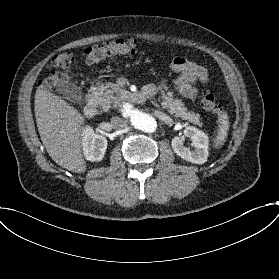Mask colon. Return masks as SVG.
<instances>
[{
    "instance_id": "obj_1",
    "label": "colon",
    "mask_w": 279,
    "mask_h": 279,
    "mask_svg": "<svg viewBox=\"0 0 279 279\" xmlns=\"http://www.w3.org/2000/svg\"><path fill=\"white\" fill-rule=\"evenodd\" d=\"M139 47L136 41L116 40L98 44L87 49L85 53V60L87 64H94L114 56H129L138 53ZM74 61L71 51H60L54 55L51 60L50 68L56 73L53 75L45 85L46 90H55L59 84L64 81V70H68ZM60 72V73H57ZM201 107L212 115H219L222 113V105L216 100L213 94L208 91H203L200 94Z\"/></svg>"
}]
</instances>
